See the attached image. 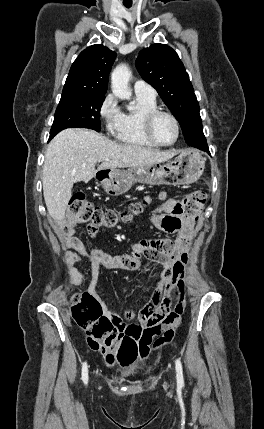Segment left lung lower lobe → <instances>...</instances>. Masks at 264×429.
Returning a JSON list of instances; mask_svg holds the SVG:
<instances>
[{
    "instance_id": "0a47b994",
    "label": "left lung lower lobe",
    "mask_w": 264,
    "mask_h": 429,
    "mask_svg": "<svg viewBox=\"0 0 264 429\" xmlns=\"http://www.w3.org/2000/svg\"><path fill=\"white\" fill-rule=\"evenodd\" d=\"M198 147H199V149L204 150V151H206L208 149V146H205V147L198 146ZM198 147H196V148H198Z\"/></svg>"
}]
</instances>
